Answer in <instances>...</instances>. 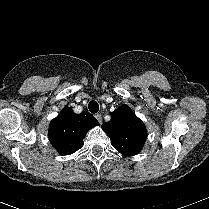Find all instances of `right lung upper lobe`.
<instances>
[{
    "label": "right lung upper lobe",
    "instance_id": "obj_1",
    "mask_svg": "<svg viewBox=\"0 0 209 209\" xmlns=\"http://www.w3.org/2000/svg\"><path fill=\"white\" fill-rule=\"evenodd\" d=\"M99 122L87 111L75 114L70 107H64L49 126L51 144L62 155H69L83 146V139L89 129Z\"/></svg>",
    "mask_w": 209,
    "mask_h": 209
}]
</instances>
